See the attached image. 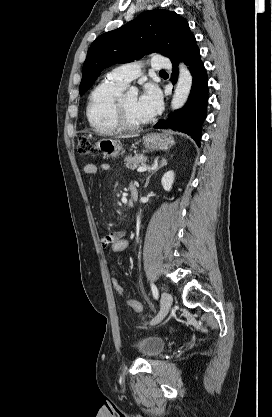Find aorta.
<instances>
[{"instance_id": "obj_1", "label": "aorta", "mask_w": 272, "mask_h": 417, "mask_svg": "<svg viewBox=\"0 0 272 417\" xmlns=\"http://www.w3.org/2000/svg\"><path fill=\"white\" fill-rule=\"evenodd\" d=\"M192 75L184 63L179 65V77L174 95L172 97L171 107L173 110L181 108L188 99L192 87ZM138 90L134 87L129 89V94L137 95Z\"/></svg>"}]
</instances>
